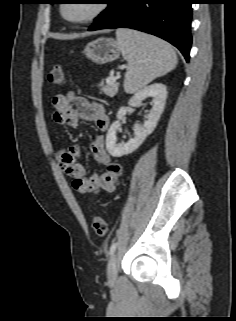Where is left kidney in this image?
Returning a JSON list of instances; mask_svg holds the SVG:
<instances>
[{
	"label": "left kidney",
	"mask_w": 236,
	"mask_h": 321,
	"mask_svg": "<svg viewBox=\"0 0 236 321\" xmlns=\"http://www.w3.org/2000/svg\"><path fill=\"white\" fill-rule=\"evenodd\" d=\"M148 97H153L152 109L147 115V120L142 125L136 124L134 126V137L128 142L120 145L116 144V132L120 128V120L126 115L127 109L121 107L117 112V121L112 123L106 135V148L113 157H121L135 151L150 135L157 126L160 116L164 110L167 98L166 86L161 83H155L145 87L137 92L128 102L130 106L139 105Z\"/></svg>",
	"instance_id": "left-kidney-1"
}]
</instances>
